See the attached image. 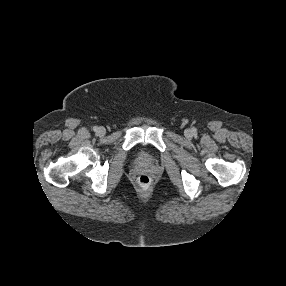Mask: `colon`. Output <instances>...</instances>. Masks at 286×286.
Masks as SVG:
<instances>
[{
  "instance_id": "5ec220e1",
  "label": "colon",
  "mask_w": 286,
  "mask_h": 286,
  "mask_svg": "<svg viewBox=\"0 0 286 286\" xmlns=\"http://www.w3.org/2000/svg\"><path fill=\"white\" fill-rule=\"evenodd\" d=\"M137 182L141 187L147 188L151 185L152 179L148 175H140L137 179Z\"/></svg>"
}]
</instances>
